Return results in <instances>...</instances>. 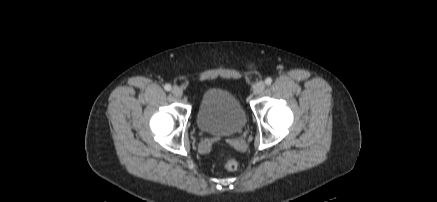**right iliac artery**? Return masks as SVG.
Wrapping results in <instances>:
<instances>
[{"mask_svg": "<svg viewBox=\"0 0 437 202\" xmlns=\"http://www.w3.org/2000/svg\"><path fill=\"white\" fill-rule=\"evenodd\" d=\"M164 88H165L166 91H170L171 90V85L170 84H166L164 86Z\"/></svg>", "mask_w": 437, "mask_h": 202, "instance_id": "82829eb1", "label": "right iliac artery"}]
</instances>
